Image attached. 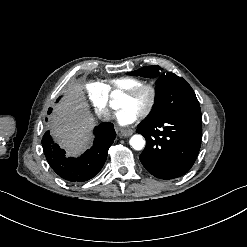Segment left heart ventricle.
Segmentation results:
<instances>
[{"instance_id": "obj_1", "label": "left heart ventricle", "mask_w": 247, "mask_h": 247, "mask_svg": "<svg viewBox=\"0 0 247 247\" xmlns=\"http://www.w3.org/2000/svg\"><path fill=\"white\" fill-rule=\"evenodd\" d=\"M147 100H148L147 94L143 93L138 98L133 99V100L127 98L125 101V105H127V106L128 105H135L143 111L147 106Z\"/></svg>"}]
</instances>
